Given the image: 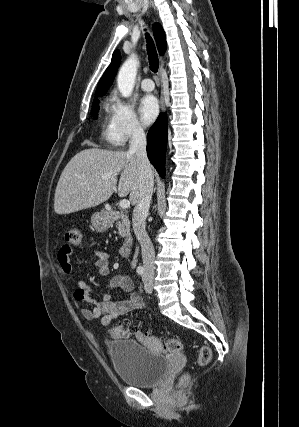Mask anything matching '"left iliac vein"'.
<instances>
[{
	"label": "left iliac vein",
	"instance_id": "4c4485c4",
	"mask_svg": "<svg viewBox=\"0 0 299 427\" xmlns=\"http://www.w3.org/2000/svg\"><path fill=\"white\" fill-rule=\"evenodd\" d=\"M145 283V290L147 293H152V281H148L147 279H144Z\"/></svg>",
	"mask_w": 299,
	"mask_h": 427
}]
</instances>
